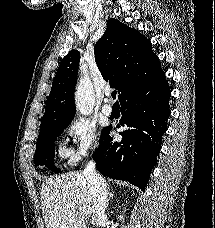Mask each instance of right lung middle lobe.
Masks as SVG:
<instances>
[{
	"instance_id": "obj_1",
	"label": "right lung middle lobe",
	"mask_w": 215,
	"mask_h": 228,
	"mask_svg": "<svg viewBox=\"0 0 215 228\" xmlns=\"http://www.w3.org/2000/svg\"><path fill=\"white\" fill-rule=\"evenodd\" d=\"M71 121L68 122H58L52 123L40 128V133L37 140L36 151L34 155V163L35 165H45L50 170L55 171L56 173L60 172L53 165L54 160V152H55V141L64 131V129L70 124ZM107 128L102 131L100 142H102L104 138V134Z\"/></svg>"
}]
</instances>
